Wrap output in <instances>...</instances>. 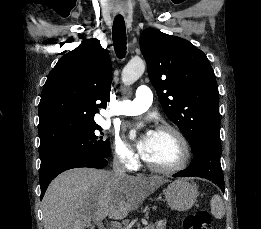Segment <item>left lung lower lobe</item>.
I'll list each match as a JSON object with an SVG mask.
<instances>
[{
  "label": "left lung lower lobe",
  "mask_w": 261,
  "mask_h": 229,
  "mask_svg": "<svg viewBox=\"0 0 261 229\" xmlns=\"http://www.w3.org/2000/svg\"><path fill=\"white\" fill-rule=\"evenodd\" d=\"M190 167L173 177L197 176L211 180L224 192V176L220 164V144L204 143L193 152Z\"/></svg>",
  "instance_id": "obj_1"
}]
</instances>
